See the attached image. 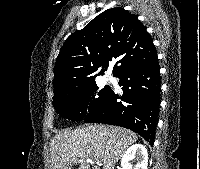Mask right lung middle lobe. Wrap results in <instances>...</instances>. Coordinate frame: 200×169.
<instances>
[{
  "label": "right lung middle lobe",
  "mask_w": 200,
  "mask_h": 169,
  "mask_svg": "<svg viewBox=\"0 0 200 169\" xmlns=\"http://www.w3.org/2000/svg\"><path fill=\"white\" fill-rule=\"evenodd\" d=\"M110 91L109 85L101 89L95 80H92L69 95L53 99V105L62 117L71 121H80L97 110Z\"/></svg>",
  "instance_id": "obj_1"
}]
</instances>
